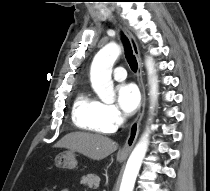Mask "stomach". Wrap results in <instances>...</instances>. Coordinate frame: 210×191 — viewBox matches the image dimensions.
<instances>
[{"label": "stomach", "instance_id": "0dacf381", "mask_svg": "<svg viewBox=\"0 0 210 191\" xmlns=\"http://www.w3.org/2000/svg\"><path fill=\"white\" fill-rule=\"evenodd\" d=\"M125 158L119 157L118 160L122 162ZM55 165L58 168L74 169L77 166V161L73 151H65L60 153L55 158Z\"/></svg>", "mask_w": 210, "mask_h": 191}]
</instances>
